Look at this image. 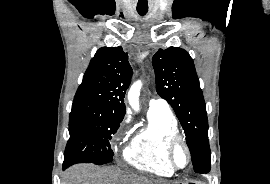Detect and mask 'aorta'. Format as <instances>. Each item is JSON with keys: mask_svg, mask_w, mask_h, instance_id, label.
<instances>
[{"mask_svg": "<svg viewBox=\"0 0 270 184\" xmlns=\"http://www.w3.org/2000/svg\"><path fill=\"white\" fill-rule=\"evenodd\" d=\"M141 87H142L141 81H136L135 83H133V85L130 87L128 91V102L130 106L136 111L139 110V96Z\"/></svg>", "mask_w": 270, "mask_h": 184, "instance_id": "aorta-1", "label": "aorta"}]
</instances>
